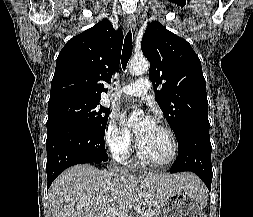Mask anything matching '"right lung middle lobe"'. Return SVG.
Wrapping results in <instances>:
<instances>
[{
    "label": "right lung middle lobe",
    "instance_id": "dd1d6c3e",
    "mask_svg": "<svg viewBox=\"0 0 253 217\" xmlns=\"http://www.w3.org/2000/svg\"><path fill=\"white\" fill-rule=\"evenodd\" d=\"M100 99L71 97L48 104L47 130L60 125H80L102 133L110 110L99 104Z\"/></svg>",
    "mask_w": 253,
    "mask_h": 217
}]
</instances>
